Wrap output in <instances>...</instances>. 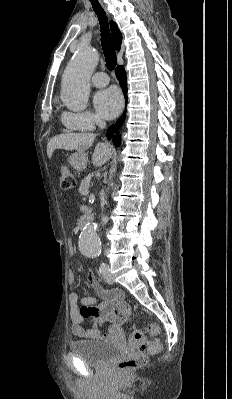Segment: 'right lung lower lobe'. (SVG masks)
<instances>
[{"label":"right lung lower lobe","mask_w":232,"mask_h":399,"mask_svg":"<svg viewBox=\"0 0 232 399\" xmlns=\"http://www.w3.org/2000/svg\"><path fill=\"white\" fill-rule=\"evenodd\" d=\"M116 76H117V78H118V80H119V82H120V85H121L122 90H123V92H124L125 99H126V103H127V81H126V73H125V70H124L123 67L118 66V67L116 68ZM124 118H125V113H124L123 116H121V118L116 122V125H115V126L113 125V126H111V127L108 129V131H107V138H108V139L112 138L113 135H114V132H117V131H118V129H119V127L121 126V124H122ZM113 141H114V145H115L116 147H118V146L120 145V139H119V136H118V135L114 137Z\"/></svg>","instance_id":"obj_1"}]
</instances>
